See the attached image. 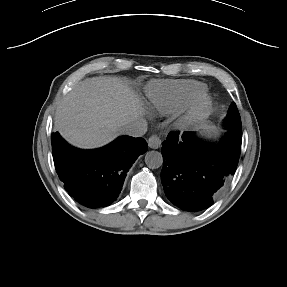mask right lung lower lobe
Returning a JSON list of instances; mask_svg holds the SVG:
<instances>
[{"label": "right lung lower lobe", "mask_w": 287, "mask_h": 287, "mask_svg": "<svg viewBox=\"0 0 287 287\" xmlns=\"http://www.w3.org/2000/svg\"><path fill=\"white\" fill-rule=\"evenodd\" d=\"M57 174L67 192L89 208L110 205L119 196L136 158L148 150L145 139L122 136L94 150L67 144L58 132L51 136Z\"/></svg>", "instance_id": "98d812e1"}]
</instances>
